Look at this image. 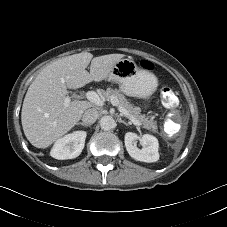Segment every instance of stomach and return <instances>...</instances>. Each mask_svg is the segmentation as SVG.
<instances>
[{
	"instance_id": "stomach-1",
	"label": "stomach",
	"mask_w": 227,
	"mask_h": 227,
	"mask_svg": "<svg viewBox=\"0 0 227 227\" xmlns=\"http://www.w3.org/2000/svg\"><path fill=\"white\" fill-rule=\"evenodd\" d=\"M107 79L117 83L124 94L143 99H148L158 86V80L154 74L139 68L129 58L118 61Z\"/></svg>"
}]
</instances>
